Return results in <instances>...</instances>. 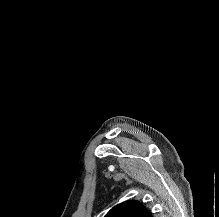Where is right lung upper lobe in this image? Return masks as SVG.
Listing matches in <instances>:
<instances>
[{"mask_svg":"<svg viewBox=\"0 0 219 217\" xmlns=\"http://www.w3.org/2000/svg\"><path fill=\"white\" fill-rule=\"evenodd\" d=\"M105 217H152L138 201H127L112 208Z\"/></svg>","mask_w":219,"mask_h":217,"instance_id":"right-lung-upper-lobe-1","label":"right lung upper lobe"}]
</instances>
